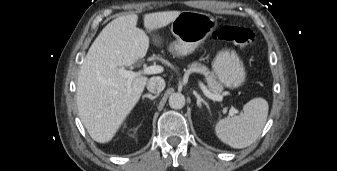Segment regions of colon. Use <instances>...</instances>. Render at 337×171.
Segmentation results:
<instances>
[{
    "label": "colon",
    "instance_id": "obj_1",
    "mask_svg": "<svg viewBox=\"0 0 337 171\" xmlns=\"http://www.w3.org/2000/svg\"><path fill=\"white\" fill-rule=\"evenodd\" d=\"M213 38L233 43L243 49H249L253 43L254 34L249 28L226 25L217 30Z\"/></svg>",
    "mask_w": 337,
    "mask_h": 171
}]
</instances>
